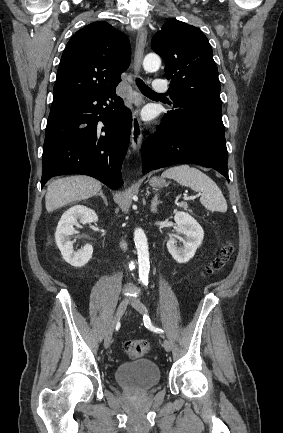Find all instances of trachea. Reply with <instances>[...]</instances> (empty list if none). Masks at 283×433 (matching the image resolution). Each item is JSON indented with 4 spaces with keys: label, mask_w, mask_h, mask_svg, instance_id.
Masks as SVG:
<instances>
[{
    "label": "trachea",
    "mask_w": 283,
    "mask_h": 433,
    "mask_svg": "<svg viewBox=\"0 0 283 433\" xmlns=\"http://www.w3.org/2000/svg\"><path fill=\"white\" fill-rule=\"evenodd\" d=\"M136 85L138 86L139 90L143 95H167L164 93H156L154 90H152L146 83L143 82V80L136 78Z\"/></svg>",
    "instance_id": "trachea-1"
}]
</instances>
